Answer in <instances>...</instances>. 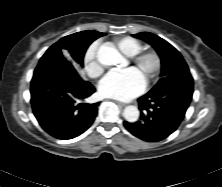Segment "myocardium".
Masks as SVG:
<instances>
[{
    "label": "myocardium",
    "mask_w": 222,
    "mask_h": 187,
    "mask_svg": "<svg viewBox=\"0 0 222 187\" xmlns=\"http://www.w3.org/2000/svg\"><path fill=\"white\" fill-rule=\"evenodd\" d=\"M147 59H151L153 61V69L146 78V82L149 84L157 80L161 74L162 58L160 54L155 50H140L138 53L131 56V62L135 66L142 65V63Z\"/></svg>",
    "instance_id": "1"
}]
</instances>
